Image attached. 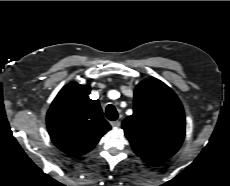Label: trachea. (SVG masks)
<instances>
[{
    "label": "trachea",
    "mask_w": 230,
    "mask_h": 186,
    "mask_svg": "<svg viewBox=\"0 0 230 186\" xmlns=\"http://www.w3.org/2000/svg\"><path fill=\"white\" fill-rule=\"evenodd\" d=\"M105 114H106V117L111 121H115L118 118L117 110L111 104L107 105Z\"/></svg>",
    "instance_id": "obj_1"
}]
</instances>
